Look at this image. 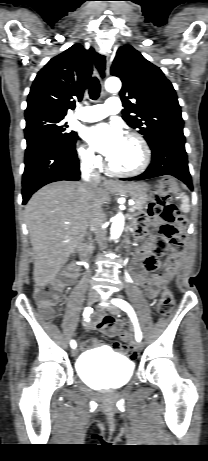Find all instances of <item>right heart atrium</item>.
Wrapping results in <instances>:
<instances>
[{
  "instance_id": "obj_1",
  "label": "right heart atrium",
  "mask_w": 208,
  "mask_h": 461,
  "mask_svg": "<svg viewBox=\"0 0 208 461\" xmlns=\"http://www.w3.org/2000/svg\"><path fill=\"white\" fill-rule=\"evenodd\" d=\"M78 157L80 163L87 168H96L99 166L100 158L93 150L88 147L80 146L78 148Z\"/></svg>"
}]
</instances>
